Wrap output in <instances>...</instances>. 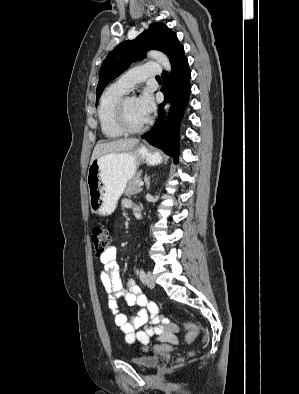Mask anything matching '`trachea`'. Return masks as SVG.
Listing matches in <instances>:
<instances>
[{
	"instance_id": "trachea-1",
	"label": "trachea",
	"mask_w": 299,
	"mask_h": 394,
	"mask_svg": "<svg viewBox=\"0 0 299 394\" xmlns=\"http://www.w3.org/2000/svg\"><path fill=\"white\" fill-rule=\"evenodd\" d=\"M156 79H161L159 76H156Z\"/></svg>"
}]
</instances>
